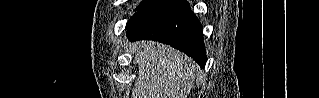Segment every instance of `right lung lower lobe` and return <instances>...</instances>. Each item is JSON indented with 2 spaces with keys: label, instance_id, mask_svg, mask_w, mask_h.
I'll list each match as a JSON object with an SVG mask.
<instances>
[{
  "label": "right lung lower lobe",
  "instance_id": "98d812e1",
  "mask_svg": "<svg viewBox=\"0 0 319 98\" xmlns=\"http://www.w3.org/2000/svg\"><path fill=\"white\" fill-rule=\"evenodd\" d=\"M130 41H159L192 57L204 68L207 57L202 25L185 0H151L128 21Z\"/></svg>",
  "mask_w": 319,
  "mask_h": 98
}]
</instances>
